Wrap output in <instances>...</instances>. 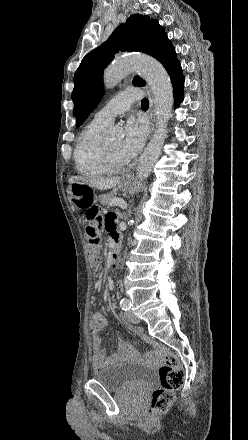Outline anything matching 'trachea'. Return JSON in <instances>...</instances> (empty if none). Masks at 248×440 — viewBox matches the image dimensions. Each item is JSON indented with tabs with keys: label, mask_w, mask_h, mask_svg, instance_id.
<instances>
[{
	"label": "trachea",
	"mask_w": 248,
	"mask_h": 440,
	"mask_svg": "<svg viewBox=\"0 0 248 440\" xmlns=\"http://www.w3.org/2000/svg\"><path fill=\"white\" fill-rule=\"evenodd\" d=\"M148 106H149V101H148L147 98H144V99L141 101V107H142L143 109H148Z\"/></svg>",
	"instance_id": "1"
}]
</instances>
